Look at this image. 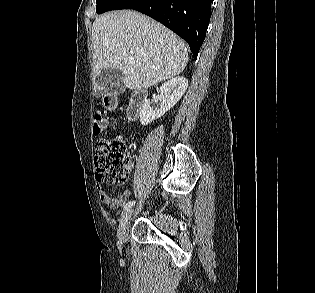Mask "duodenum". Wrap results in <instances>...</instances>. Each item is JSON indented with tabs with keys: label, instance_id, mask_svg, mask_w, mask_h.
I'll return each mask as SVG.
<instances>
[{
	"label": "duodenum",
	"instance_id": "1",
	"mask_svg": "<svg viewBox=\"0 0 315 293\" xmlns=\"http://www.w3.org/2000/svg\"><path fill=\"white\" fill-rule=\"evenodd\" d=\"M147 97V92L144 89L134 90L129 97L128 106H127V118L130 121L136 120L143 107V103L145 102Z\"/></svg>",
	"mask_w": 315,
	"mask_h": 293
}]
</instances>
